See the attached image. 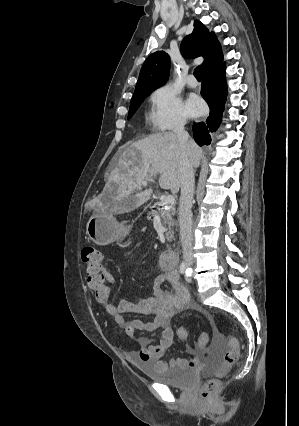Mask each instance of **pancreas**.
<instances>
[{"instance_id": "1", "label": "pancreas", "mask_w": 299, "mask_h": 426, "mask_svg": "<svg viewBox=\"0 0 299 426\" xmlns=\"http://www.w3.org/2000/svg\"><path fill=\"white\" fill-rule=\"evenodd\" d=\"M162 203L163 202L160 201L155 204L154 208L156 209L151 210V212H149V218L154 217L155 215H160V219L163 225H165L167 228L166 238L168 241H172L174 234L172 228L175 224L174 216L176 214V210L174 207H171L170 209L160 208V206H162Z\"/></svg>"}]
</instances>
